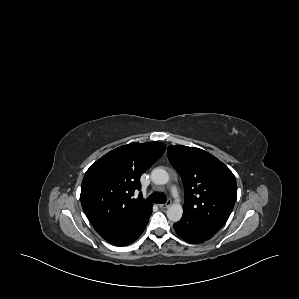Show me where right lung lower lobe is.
<instances>
[{
    "instance_id": "right-lung-lower-lobe-1",
    "label": "right lung lower lobe",
    "mask_w": 299,
    "mask_h": 299,
    "mask_svg": "<svg viewBox=\"0 0 299 299\" xmlns=\"http://www.w3.org/2000/svg\"><path fill=\"white\" fill-rule=\"evenodd\" d=\"M151 213H149L140 223L127 227L108 230L100 233V235L103 239L112 244L118 246L128 245L138 239V237L142 234L148 223V219L150 218Z\"/></svg>"
}]
</instances>
